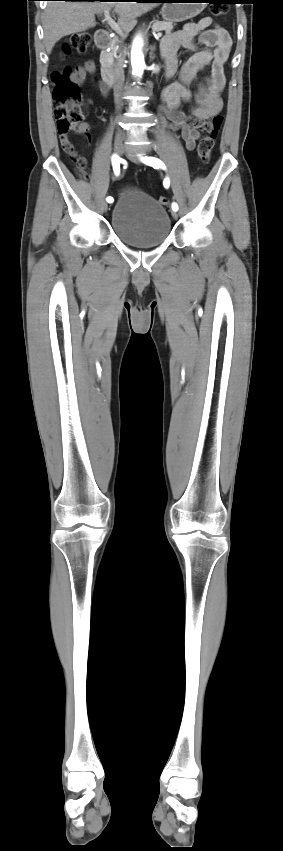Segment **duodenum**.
I'll list each match as a JSON object with an SVG mask.
<instances>
[{"instance_id":"1","label":"duodenum","mask_w":283,"mask_h":851,"mask_svg":"<svg viewBox=\"0 0 283 851\" xmlns=\"http://www.w3.org/2000/svg\"><path fill=\"white\" fill-rule=\"evenodd\" d=\"M110 40V33L105 30H100L95 35L96 46L100 49H105L109 45ZM101 77L106 82V84L109 85V87L113 85L114 76L112 74V71L108 67L105 66L102 68Z\"/></svg>"}]
</instances>
